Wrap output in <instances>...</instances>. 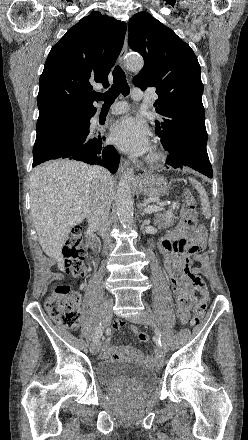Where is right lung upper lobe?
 <instances>
[{
  "label": "right lung upper lobe",
  "mask_w": 248,
  "mask_h": 440,
  "mask_svg": "<svg viewBox=\"0 0 248 440\" xmlns=\"http://www.w3.org/2000/svg\"><path fill=\"white\" fill-rule=\"evenodd\" d=\"M125 32L124 22L94 11L52 47L39 80L37 130L70 116L96 112L92 84L109 86L107 77Z\"/></svg>",
  "instance_id": "right-lung-upper-lobe-1"
}]
</instances>
